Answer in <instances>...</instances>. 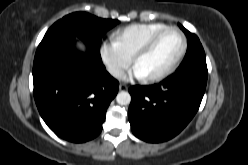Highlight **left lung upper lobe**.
Masks as SVG:
<instances>
[{"label": "left lung upper lobe", "mask_w": 248, "mask_h": 165, "mask_svg": "<svg viewBox=\"0 0 248 165\" xmlns=\"http://www.w3.org/2000/svg\"><path fill=\"white\" fill-rule=\"evenodd\" d=\"M178 25L187 36V44H188L186 56L179 68L191 64L196 60H205L206 59L205 52L200 43L199 38L195 34L185 29L181 24Z\"/></svg>", "instance_id": "5c2ea615"}]
</instances>
